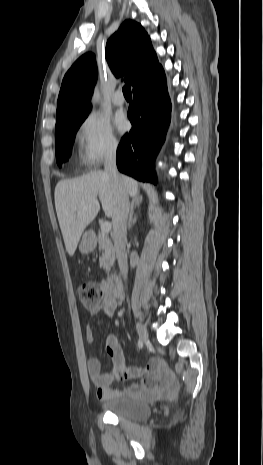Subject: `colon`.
<instances>
[{"label": "colon", "instance_id": "colon-1", "mask_svg": "<svg viewBox=\"0 0 263 465\" xmlns=\"http://www.w3.org/2000/svg\"><path fill=\"white\" fill-rule=\"evenodd\" d=\"M79 299L87 308H93L100 304L105 296L104 286L87 281L80 285L78 290Z\"/></svg>", "mask_w": 263, "mask_h": 465}]
</instances>
